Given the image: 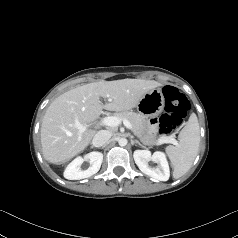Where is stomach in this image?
I'll list each match as a JSON object with an SVG mask.
<instances>
[{
	"label": "stomach",
	"instance_id": "stomach-1",
	"mask_svg": "<svg viewBox=\"0 0 238 238\" xmlns=\"http://www.w3.org/2000/svg\"><path fill=\"white\" fill-rule=\"evenodd\" d=\"M165 105V98L160 89H153L146 93L139 101L137 107L138 112L143 117H150L152 114H160Z\"/></svg>",
	"mask_w": 238,
	"mask_h": 238
}]
</instances>
